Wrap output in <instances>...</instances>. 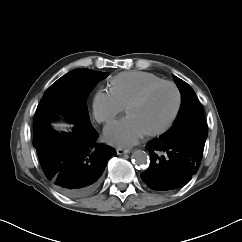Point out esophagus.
Returning a JSON list of instances; mask_svg holds the SVG:
<instances>
[{
    "label": "esophagus",
    "mask_w": 242,
    "mask_h": 242,
    "mask_svg": "<svg viewBox=\"0 0 242 242\" xmlns=\"http://www.w3.org/2000/svg\"><path fill=\"white\" fill-rule=\"evenodd\" d=\"M116 152H117L118 155H122V154L130 153V150L119 147V148L116 149Z\"/></svg>",
    "instance_id": "1"
}]
</instances>
